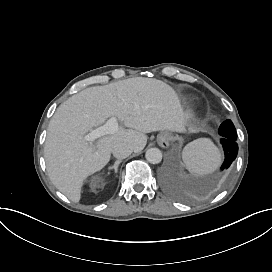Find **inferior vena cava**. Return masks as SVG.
I'll return each mask as SVG.
<instances>
[{
  "label": "inferior vena cava",
  "mask_w": 272,
  "mask_h": 272,
  "mask_svg": "<svg viewBox=\"0 0 272 272\" xmlns=\"http://www.w3.org/2000/svg\"><path fill=\"white\" fill-rule=\"evenodd\" d=\"M132 152L133 148L125 143L116 144L112 149L113 156L118 159H124L128 157Z\"/></svg>",
  "instance_id": "1"
}]
</instances>
